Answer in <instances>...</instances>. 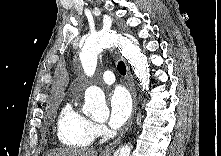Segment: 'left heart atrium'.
Instances as JSON below:
<instances>
[{"mask_svg":"<svg viewBox=\"0 0 221 156\" xmlns=\"http://www.w3.org/2000/svg\"><path fill=\"white\" fill-rule=\"evenodd\" d=\"M109 109V126L119 129L126 123L132 112V100L126 89L117 87L110 93Z\"/></svg>","mask_w":221,"mask_h":156,"instance_id":"1","label":"left heart atrium"}]
</instances>
